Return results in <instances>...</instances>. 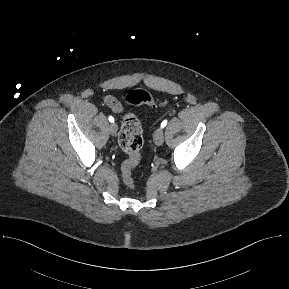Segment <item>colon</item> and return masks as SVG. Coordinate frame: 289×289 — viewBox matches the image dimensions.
<instances>
[{
  "mask_svg": "<svg viewBox=\"0 0 289 289\" xmlns=\"http://www.w3.org/2000/svg\"><path fill=\"white\" fill-rule=\"evenodd\" d=\"M131 108L125 116L123 122L122 133L120 136V144L124 151L128 153V159L123 162L122 176L125 183L132 190H139L137 181L132 176V169L140 161V150L143 145L142 135L140 133V125L136 112V107L141 104L150 105L156 107L161 103L155 100L145 90H134L127 96Z\"/></svg>",
  "mask_w": 289,
  "mask_h": 289,
  "instance_id": "obj_1",
  "label": "colon"
}]
</instances>
